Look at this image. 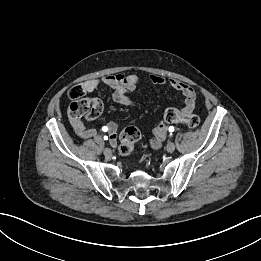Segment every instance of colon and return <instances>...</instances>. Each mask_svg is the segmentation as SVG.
Wrapping results in <instances>:
<instances>
[{"label":"colon","mask_w":261,"mask_h":261,"mask_svg":"<svg viewBox=\"0 0 261 261\" xmlns=\"http://www.w3.org/2000/svg\"><path fill=\"white\" fill-rule=\"evenodd\" d=\"M84 91L80 85L73 86L69 92V97L73 100L70 111L73 115L88 119L99 117L102 112V104L97 99H85ZM164 121L166 123H184L189 128H196L200 124V118L194 113L184 114L176 108H168L164 112ZM140 139V131L134 126L123 129L119 137L118 151L121 155L127 156L131 154L136 143Z\"/></svg>","instance_id":"colon-1"}]
</instances>
